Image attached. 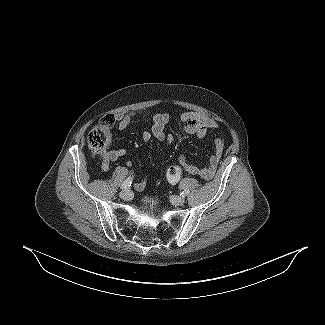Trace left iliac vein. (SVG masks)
Returning <instances> with one entry per match:
<instances>
[{"instance_id": "left-iliac-vein-1", "label": "left iliac vein", "mask_w": 325, "mask_h": 325, "mask_svg": "<svg viewBox=\"0 0 325 325\" xmlns=\"http://www.w3.org/2000/svg\"><path fill=\"white\" fill-rule=\"evenodd\" d=\"M170 201L173 205L180 206L185 203V199L181 196H171Z\"/></svg>"}]
</instances>
